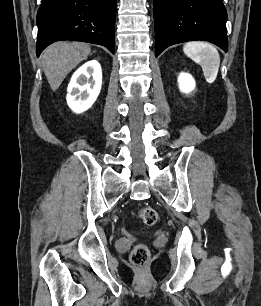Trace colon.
<instances>
[{
    "instance_id": "5ec220e1",
    "label": "colon",
    "mask_w": 261,
    "mask_h": 306,
    "mask_svg": "<svg viewBox=\"0 0 261 306\" xmlns=\"http://www.w3.org/2000/svg\"><path fill=\"white\" fill-rule=\"evenodd\" d=\"M138 217L143 222V224L149 227L154 226L158 220V214L156 210L149 206L142 207L138 211ZM148 258H149V250L147 246L144 244L136 245L131 252L132 262L139 267L144 266L148 261Z\"/></svg>"
}]
</instances>
